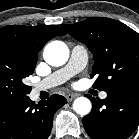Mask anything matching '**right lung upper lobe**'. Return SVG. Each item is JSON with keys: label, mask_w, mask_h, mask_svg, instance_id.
Listing matches in <instances>:
<instances>
[{"label": "right lung upper lobe", "mask_w": 139, "mask_h": 139, "mask_svg": "<svg viewBox=\"0 0 139 139\" xmlns=\"http://www.w3.org/2000/svg\"><path fill=\"white\" fill-rule=\"evenodd\" d=\"M57 35H65V32L56 25H10L0 29V48L16 50L37 62L38 52Z\"/></svg>", "instance_id": "right-lung-upper-lobe-1"}]
</instances>
